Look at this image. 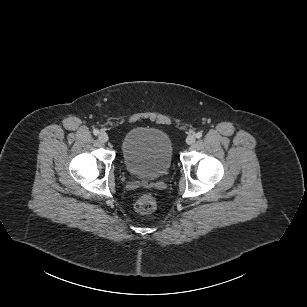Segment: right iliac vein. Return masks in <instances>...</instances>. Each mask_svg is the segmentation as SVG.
Masks as SVG:
<instances>
[{"mask_svg": "<svg viewBox=\"0 0 307 307\" xmlns=\"http://www.w3.org/2000/svg\"><path fill=\"white\" fill-rule=\"evenodd\" d=\"M99 140L103 143L108 141V135L105 132H101L98 136Z\"/></svg>", "mask_w": 307, "mask_h": 307, "instance_id": "63e3f726", "label": "right iliac vein"}]
</instances>
